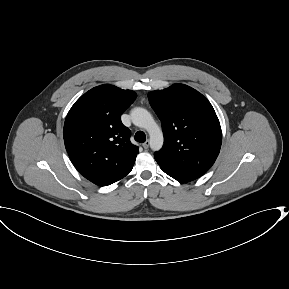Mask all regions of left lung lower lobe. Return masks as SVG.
Returning <instances> with one entry per match:
<instances>
[{"mask_svg":"<svg viewBox=\"0 0 289 289\" xmlns=\"http://www.w3.org/2000/svg\"><path fill=\"white\" fill-rule=\"evenodd\" d=\"M174 179L178 180L179 182H189V181H191V180H181V179H177V178H174Z\"/></svg>","mask_w":289,"mask_h":289,"instance_id":"0a47b994","label":"left lung lower lobe"}]
</instances>
